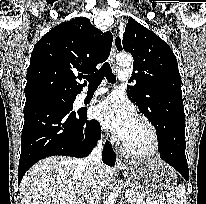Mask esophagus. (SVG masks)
<instances>
[{"label":"esophagus","instance_id":"esophagus-1","mask_svg":"<svg viewBox=\"0 0 206 204\" xmlns=\"http://www.w3.org/2000/svg\"><path fill=\"white\" fill-rule=\"evenodd\" d=\"M115 58H116V47H115V35L113 34V43H112V48H111L110 57H109V61H110V64L112 65V67H115V65H116ZM116 167L118 169H123L125 167V165L120 157H117Z\"/></svg>","mask_w":206,"mask_h":204}]
</instances>
